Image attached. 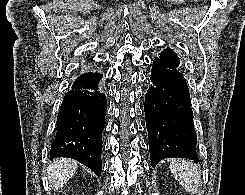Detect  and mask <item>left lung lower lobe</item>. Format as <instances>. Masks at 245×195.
<instances>
[{"mask_svg": "<svg viewBox=\"0 0 245 195\" xmlns=\"http://www.w3.org/2000/svg\"><path fill=\"white\" fill-rule=\"evenodd\" d=\"M145 95V119L151 165L170 157L198 162L190 94L184 76L173 63L156 58Z\"/></svg>", "mask_w": 245, "mask_h": 195, "instance_id": "0a47b994", "label": "left lung lower lobe"}]
</instances>
